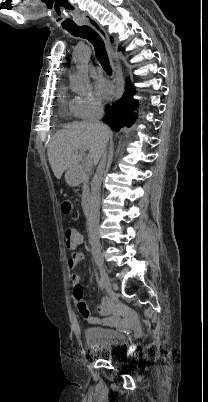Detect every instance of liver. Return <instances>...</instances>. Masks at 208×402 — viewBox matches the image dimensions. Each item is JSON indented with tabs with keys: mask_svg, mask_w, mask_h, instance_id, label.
<instances>
[{
	"mask_svg": "<svg viewBox=\"0 0 208 402\" xmlns=\"http://www.w3.org/2000/svg\"><path fill=\"white\" fill-rule=\"evenodd\" d=\"M109 138L110 130L107 126L101 128V126L89 124V122H77V124L66 126L64 130H58L52 136L47 150L54 176L60 180L65 170L76 168L80 162L77 160V156L88 148L90 158L94 164H97Z\"/></svg>",
	"mask_w": 208,
	"mask_h": 402,
	"instance_id": "obj_1",
	"label": "liver"
}]
</instances>
